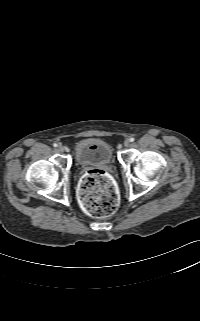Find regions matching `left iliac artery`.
I'll list each match as a JSON object with an SVG mask.
<instances>
[{
    "label": "left iliac artery",
    "instance_id": "obj_1",
    "mask_svg": "<svg viewBox=\"0 0 200 321\" xmlns=\"http://www.w3.org/2000/svg\"><path fill=\"white\" fill-rule=\"evenodd\" d=\"M129 140H130V142H133L135 139L134 138H130Z\"/></svg>",
    "mask_w": 200,
    "mask_h": 321
}]
</instances>
